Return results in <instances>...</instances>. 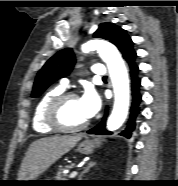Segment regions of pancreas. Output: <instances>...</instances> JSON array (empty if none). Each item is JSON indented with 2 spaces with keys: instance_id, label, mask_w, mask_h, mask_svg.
Here are the masks:
<instances>
[{
  "instance_id": "1",
  "label": "pancreas",
  "mask_w": 178,
  "mask_h": 186,
  "mask_svg": "<svg viewBox=\"0 0 178 186\" xmlns=\"http://www.w3.org/2000/svg\"><path fill=\"white\" fill-rule=\"evenodd\" d=\"M73 165H69V166H65V168H63V169H61L58 173H57V175H56V181H67L68 180V174H64L63 173V170L64 169H69V168H71Z\"/></svg>"
}]
</instances>
